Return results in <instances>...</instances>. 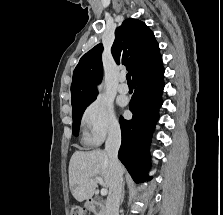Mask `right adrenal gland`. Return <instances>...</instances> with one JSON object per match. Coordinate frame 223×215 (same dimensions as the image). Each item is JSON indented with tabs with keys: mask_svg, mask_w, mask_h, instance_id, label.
I'll list each match as a JSON object with an SVG mask.
<instances>
[{
	"mask_svg": "<svg viewBox=\"0 0 223 215\" xmlns=\"http://www.w3.org/2000/svg\"><path fill=\"white\" fill-rule=\"evenodd\" d=\"M125 181H123V187H122V193H121V201L120 203H123L124 195H125Z\"/></svg>",
	"mask_w": 223,
	"mask_h": 215,
	"instance_id": "1",
	"label": "right adrenal gland"
}]
</instances>
